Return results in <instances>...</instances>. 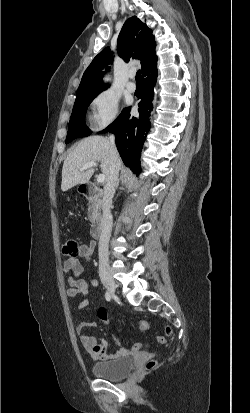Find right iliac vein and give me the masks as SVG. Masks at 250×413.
<instances>
[{
	"instance_id": "63e3f726",
	"label": "right iliac vein",
	"mask_w": 250,
	"mask_h": 413,
	"mask_svg": "<svg viewBox=\"0 0 250 413\" xmlns=\"http://www.w3.org/2000/svg\"><path fill=\"white\" fill-rule=\"evenodd\" d=\"M100 277H101L102 283L107 288L109 293H111V295L115 296L116 285H115L114 280L111 278V276L107 273H101Z\"/></svg>"
}]
</instances>
